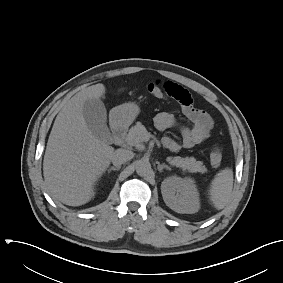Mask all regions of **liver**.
<instances>
[{
	"label": "liver",
	"mask_w": 283,
	"mask_h": 283,
	"mask_svg": "<svg viewBox=\"0 0 283 283\" xmlns=\"http://www.w3.org/2000/svg\"><path fill=\"white\" fill-rule=\"evenodd\" d=\"M105 94L101 83L66 100L46 146L43 175L50 194L69 206H80L95 195V183L110 165L114 148L94 136L83 117V104Z\"/></svg>",
	"instance_id": "liver-1"
}]
</instances>
